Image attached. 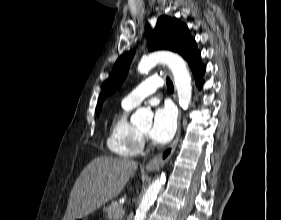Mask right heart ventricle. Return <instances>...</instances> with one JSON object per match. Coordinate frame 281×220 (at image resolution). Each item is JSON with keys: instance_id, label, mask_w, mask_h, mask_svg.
<instances>
[{"instance_id": "obj_1", "label": "right heart ventricle", "mask_w": 281, "mask_h": 220, "mask_svg": "<svg viewBox=\"0 0 281 220\" xmlns=\"http://www.w3.org/2000/svg\"><path fill=\"white\" fill-rule=\"evenodd\" d=\"M133 108L122 102L121 110L114 116L107 137L109 150L121 157H135L143 150L140 131L128 119Z\"/></svg>"}]
</instances>
